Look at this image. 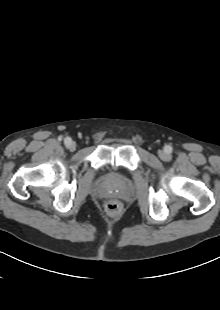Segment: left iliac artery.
<instances>
[{"instance_id": "obj_1", "label": "left iliac artery", "mask_w": 220, "mask_h": 310, "mask_svg": "<svg viewBox=\"0 0 220 310\" xmlns=\"http://www.w3.org/2000/svg\"><path fill=\"white\" fill-rule=\"evenodd\" d=\"M166 151L167 152H171L172 151V148L170 146H166Z\"/></svg>"}]
</instances>
